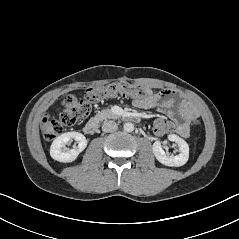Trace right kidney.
Returning <instances> with one entry per match:
<instances>
[{
  "instance_id": "ca27d5eb",
  "label": "right kidney",
  "mask_w": 239,
  "mask_h": 239,
  "mask_svg": "<svg viewBox=\"0 0 239 239\" xmlns=\"http://www.w3.org/2000/svg\"><path fill=\"white\" fill-rule=\"evenodd\" d=\"M70 140H75L78 143L77 147L67 150L66 144ZM87 146V140L85 136L79 132H67L63 133L52 142L50 147V155L54 160L59 162H73L80 152H82Z\"/></svg>"
}]
</instances>
